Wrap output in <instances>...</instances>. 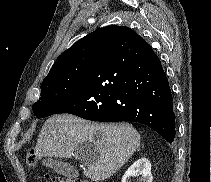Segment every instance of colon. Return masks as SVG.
<instances>
[{
    "mask_svg": "<svg viewBox=\"0 0 211 182\" xmlns=\"http://www.w3.org/2000/svg\"><path fill=\"white\" fill-rule=\"evenodd\" d=\"M37 162V157L34 151H29L26 154V164L28 167L32 168L35 166ZM49 182H90L87 180H80V179H65L62 177H58V176H48L47 177Z\"/></svg>",
    "mask_w": 211,
    "mask_h": 182,
    "instance_id": "1",
    "label": "colon"
}]
</instances>
